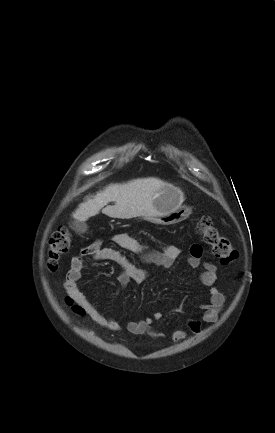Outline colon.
<instances>
[{"mask_svg": "<svg viewBox=\"0 0 275 433\" xmlns=\"http://www.w3.org/2000/svg\"><path fill=\"white\" fill-rule=\"evenodd\" d=\"M197 230L204 242L211 247L214 256L220 259L222 263L229 264L237 259V251L230 245L228 239L219 233L209 216L200 218L197 223ZM70 244L71 236L66 227H61L53 232L49 241L47 258V265L50 270H57L59 261L69 250ZM75 311L81 312V309L75 307Z\"/></svg>", "mask_w": 275, "mask_h": 433, "instance_id": "obj_1", "label": "colon"}]
</instances>
